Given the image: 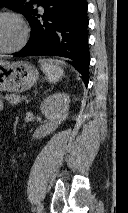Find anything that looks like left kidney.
I'll list each match as a JSON object with an SVG mask.
<instances>
[{"label":"left kidney","instance_id":"5707ae66","mask_svg":"<svg viewBox=\"0 0 128 213\" xmlns=\"http://www.w3.org/2000/svg\"><path fill=\"white\" fill-rule=\"evenodd\" d=\"M69 103V95L66 93H55L44 99L40 109L48 122L36 129L33 138L41 139L53 133L67 118Z\"/></svg>","mask_w":128,"mask_h":213}]
</instances>
